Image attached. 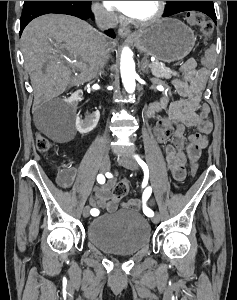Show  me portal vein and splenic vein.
<instances>
[{"mask_svg": "<svg viewBox=\"0 0 237 300\" xmlns=\"http://www.w3.org/2000/svg\"><path fill=\"white\" fill-rule=\"evenodd\" d=\"M149 64H150V65H148V68H151V69H152V68H154V69H155V68H158V65H155V64H157V63H152V62H150ZM152 64H154V65H152Z\"/></svg>", "mask_w": 237, "mask_h": 300, "instance_id": "portal-vein-and-splenic-vein-1", "label": "portal vein and splenic vein"}]
</instances>
